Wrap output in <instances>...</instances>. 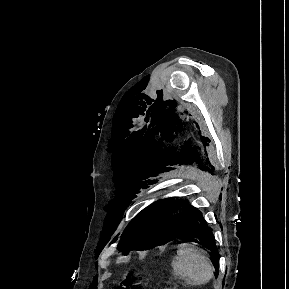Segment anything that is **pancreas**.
Instances as JSON below:
<instances>
[{
	"instance_id": "1",
	"label": "pancreas",
	"mask_w": 289,
	"mask_h": 289,
	"mask_svg": "<svg viewBox=\"0 0 289 289\" xmlns=\"http://www.w3.org/2000/svg\"><path fill=\"white\" fill-rule=\"evenodd\" d=\"M170 289H176V287H174V288H170Z\"/></svg>"
}]
</instances>
